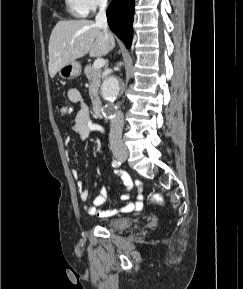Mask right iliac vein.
<instances>
[{
  "instance_id": "right-iliac-vein-1",
  "label": "right iliac vein",
  "mask_w": 243,
  "mask_h": 289,
  "mask_svg": "<svg viewBox=\"0 0 243 289\" xmlns=\"http://www.w3.org/2000/svg\"><path fill=\"white\" fill-rule=\"evenodd\" d=\"M115 157L120 161H126L128 158V152L127 151H119L115 153Z\"/></svg>"
}]
</instances>
